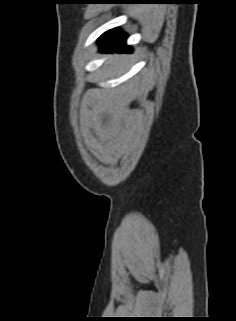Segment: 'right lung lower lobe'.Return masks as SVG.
Masks as SVG:
<instances>
[{
  "label": "right lung lower lobe",
  "instance_id": "right-lung-lower-lobe-1",
  "mask_svg": "<svg viewBox=\"0 0 236 321\" xmlns=\"http://www.w3.org/2000/svg\"><path fill=\"white\" fill-rule=\"evenodd\" d=\"M126 36L125 33L117 29L105 32L98 40L101 52H131V47L125 44Z\"/></svg>",
  "mask_w": 236,
  "mask_h": 321
}]
</instances>
